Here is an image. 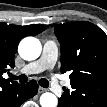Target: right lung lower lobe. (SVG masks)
Instances as JSON below:
<instances>
[{"mask_svg": "<svg viewBox=\"0 0 107 107\" xmlns=\"http://www.w3.org/2000/svg\"><path fill=\"white\" fill-rule=\"evenodd\" d=\"M38 85L35 80H31L26 85L10 84L3 87L0 92V102L2 106L15 107L28 98L36 95Z\"/></svg>", "mask_w": 107, "mask_h": 107, "instance_id": "1", "label": "right lung lower lobe"}]
</instances>
